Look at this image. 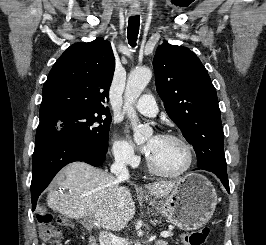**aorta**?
<instances>
[{
    "mask_svg": "<svg viewBox=\"0 0 266 245\" xmlns=\"http://www.w3.org/2000/svg\"><path fill=\"white\" fill-rule=\"evenodd\" d=\"M152 72L150 68H136L132 70L127 78V84L124 92V110L131 120V125L134 131V141L137 145H143L148 137L152 135V129L149 125H139L138 116L133 106V102L140 96L142 90L150 82Z\"/></svg>",
    "mask_w": 266,
    "mask_h": 245,
    "instance_id": "762f6f07",
    "label": "aorta"
}]
</instances>
